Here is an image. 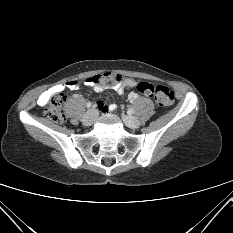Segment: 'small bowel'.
Wrapping results in <instances>:
<instances>
[{
    "instance_id": "c3829d8e",
    "label": "small bowel",
    "mask_w": 233,
    "mask_h": 233,
    "mask_svg": "<svg viewBox=\"0 0 233 233\" xmlns=\"http://www.w3.org/2000/svg\"><path fill=\"white\" fill-rule=\"evenodd\" d=\"M84 83H85L86 86L92 87V89L94 91H97V92L101 91L103 89L101 86L92 85L93 82L89 78L86 79ZM133 85H135V83L133 81L126 79V80H122L119 84L113 86L112 89L114 91H116L117 93L122 94L126 87H130V86H133ZM79 87H80V85L76 81H70V82H67L65 84L55 86V87H53V88H51L49 90L44 91L42 94H40V96L37 99V103L40 106H45V105L48 104L49 99L53 94H55V93H57L59 91H62L65 88L75 90V89H78ZM137 97H138V95H137L136 92H130L129 95H128L129 101H134ZM97 105H98L99 110L102 111V112L115 111L116 110L115 105H111V106L108 107V106H105L102 102H98Z\"/></svg>"
}]
</instances>
